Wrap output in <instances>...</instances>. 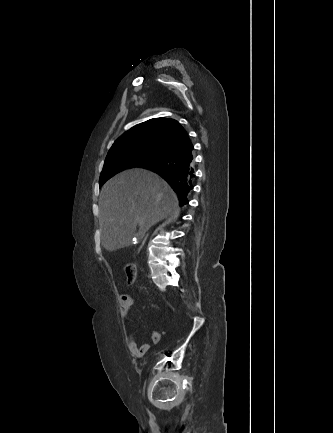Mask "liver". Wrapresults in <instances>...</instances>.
I'll list each match as a JSON object with an SVG mask.
<instances>
[{"label":"liver","mask_w":333,"mask_h":433,"mask_svg":"<svg viewBox=\"0 0 333 433\" xmlns=\"http://www.w3.org/2000/svg\"><path fill=\"white\" fill-rule=\"evenodd\" d=\"M99 210L102 245L109 252L130 246L137 224L144 235L180 211L172 188L157 174L139 168L122 171L102 187Z\"/></svg>","instance_id":"6515ba94"}]
</instances>
